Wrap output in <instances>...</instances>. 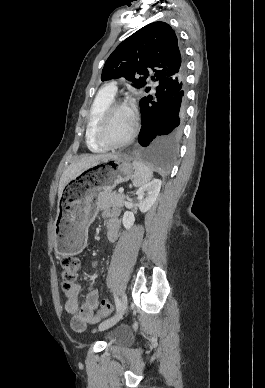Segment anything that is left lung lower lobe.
I'll list each match as a JSON object with an SVG mask.
<instances>
[{
    "mask_svg": "<svg viewBox=\"0 0 265 388\" xmlns=\"http://www.w3.org/2000/svg\"><path fill=\"white\" fill-rule=\"evenodd\" d=\"M186 72L173 75L140 100L142 126L137 154L144 161L167 171L171 168L182 134L186 105Z\"/></svg>",
    "mask_w": 265,
    "mask_h": 388,
    "instance_id": "obj_1",
    "label": "left lung lower lobe"
}]
</instances>
